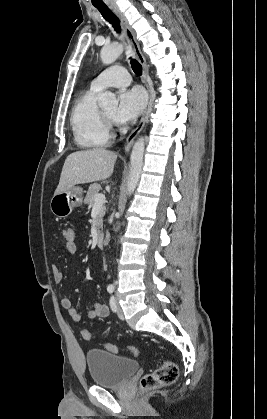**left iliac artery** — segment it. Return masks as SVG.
<instances>
[{
  "label": "left iliac artery",
  "instance_id": "44dca946",
  "mask_svg": "<svg viewBox=\"0 0 267 419\" xmlns=\"http://www.w3.org/2000/svg\"><path fill=\"white\" fill-rule=\"evenodd\" d=\"M110 307H111V309H112L113 312H116L117 307H116V301H115V297L114 296H112L110 298Z\"/></svg>",
  "mask_w": 267,
  "mask_h": 419
}]
</instances>
